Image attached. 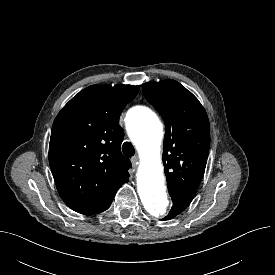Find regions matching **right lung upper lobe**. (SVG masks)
Returning <instances> with one entry per match:
<instances>
[{"label":"right lung upper lobe","mask_w":275,"mask_h":275,"mask_svg":"<svg viewBox=\"0 0 275 275\" xmlns=\"http://www.w3.org/2000/svg\"><path fill=\"white\" fill-rule=\"evenodd\" d=\"M138 91L131 85H92L55 118L49 164L59 195L72 210L101 213L128 182L131 162L121 153L124 132L119 116Z\"/></svg>","instance_id":"obj_1"}]
</instances>
